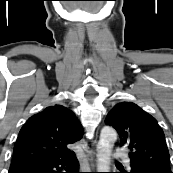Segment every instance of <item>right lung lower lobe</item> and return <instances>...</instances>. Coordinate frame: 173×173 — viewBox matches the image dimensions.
<instances>
[{"label":"right lung lower lobe","instance_id":"1","mask_svg":"<svg viewBox=\"0 0 173 173\" xmlns=\"http://www.w3.org/2000/svg\"><path fill=\"white\" fill-rule=\"evenodd\" d=\"M64 170V172H62ZM8 173H79L74 152L67 156L17 165L9 168Z\"/></svg>","mask_w":173,"mask_h":173}]
</instances>
